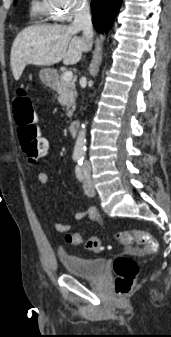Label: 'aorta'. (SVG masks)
Masks as SVG:
<instances>
[{
  "mask_svg": "<svg viewBox=\"0 0 171 337\" xmlns=\"http://www.w3.org/2000/svg\"><path fill=\"white\" fill-rule=\"evenodd\" d=\"M85 144H86V124H82L75 142L73 155L77 157H84L86 151Z\"/></svg>",
  "mask_w": 171,
  "mask_h": 337,
  "instance_id": "762f6f07",
  "label": "aorta"
}]
</instances>
